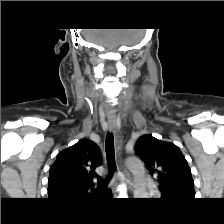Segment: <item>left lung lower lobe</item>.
Segmentation results:
<instances>
[{"instance_id":"0a47b994","label":"left lung lower lobe","mask_w":224,"mask_h":224,"mask_svg":"<svg viewBox=\"0 0 224 224\" xmlns=\"http://www.w3.org/2000/svg\"><path fill=\"white\" fill-rule=\"evenodd\" d=\"M183 198H186V197L161 194V200H182Z\"/></svg>"}]
</instances>
